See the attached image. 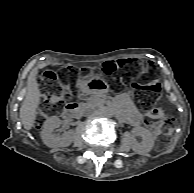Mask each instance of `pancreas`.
I'll return each mask as SVG.
<instances>
[{"label":"pancreas","mask_w":194,"mask_h":193,"mask_svg":"<svg viewBox=\"0 0 194 193\" xmlns=\"http://www.w3.org/2000/svg\"><path fill=\"white\" fill-rule=\"evenodd\" d=\"M98 100L96 101V104L98 106H101L103 103H105L108 100L107 96H99Z\"/></svg>","instance_id":"cf45deb5"}]
</instances>
